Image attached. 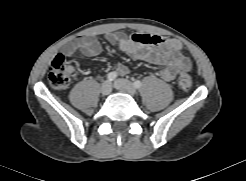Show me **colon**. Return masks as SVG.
<instances>
[{"label": "colon", "mask_w": 246, "mask_h": 181, "mask_svg": "<svg viewBox=\"0 0 246 181\" xmlns=\"http://www.w3.org/2000/svg\"><path fill=\"white\" fill-rule=\"evenodd\" d=\"M141 42L149 44H157L159 42V37L153 36H142L140 38ZM72 66L66 60L62 54L55 56L51 63V67L48 72V82L49 84L57 89L67 88L72 81ZM179 87L183 91H188L192 87V78L189 69H183L178 74L177 79Z\"/></svg>", "instance_id": "5ec220e1"}]
</instances>
